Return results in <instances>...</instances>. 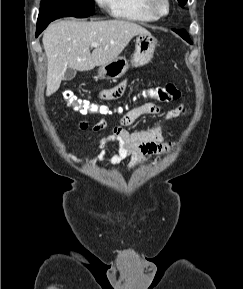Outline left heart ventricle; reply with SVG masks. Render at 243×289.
Listing matches in <instances>:
<instances>
[{"label": "left heart ventricle", "instance_id": "left-heart-ventricle-1", "mask_svg": "<svg viewBox=\"0 0 243 289\" xmlns=\"http://www.w3.org/2000/svg\"><path fill=\"white\" fill-rule=\"evenodd\" d=\"M157 7H158V10L161 12L165 11V9H166L165 4L163 3L162 0H158Z\"/></svg>", "mask_w": 243, "mask_h": 289}]
</instances>
